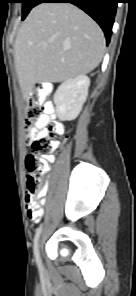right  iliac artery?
Returning <instances> with one entry per match:
<instances>
[{
	"label": "right iliac artery",
	"instance_id": "82829eb1",
	"mask_svg": "<svg viewBox=\"0 0 136 296\" xmlns=\"http://www.w3.org/2000/svg\"><path fill=\"white\" fill-rule=\"evenodd\" d=\"M41 230H42V226L38 227L37 230H36V234H35V237H34V240H33V251H34V256H35V260H36V263L38 265V268L40 271H43V265H42V262H41V259H40V255H39V246H38V240H39V237H40V233H41Z\"/></svg>",
	"mask_w": 136,
	"mask_h": 296
}]
</instances>
